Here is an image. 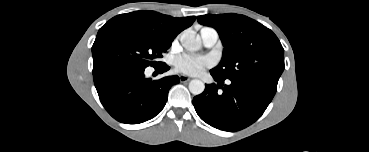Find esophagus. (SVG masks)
<instances>
[{"label": "esophagus", "instance_id": "obj_1", "mask_svg": "<svg viewBox=\"0 0 369 152\" xmlns=\"http://www.w3.org/2000/svg\"><path fill=\"white\" fill-rule=\"evenodd\" d=\"M179 79H180V81H181V82H188V81L190 80V77H188V76H186V75L181 74V75L179 76Z\"/></svg>", "mask_w": 369, "mask_h": 152}]
</instances>
